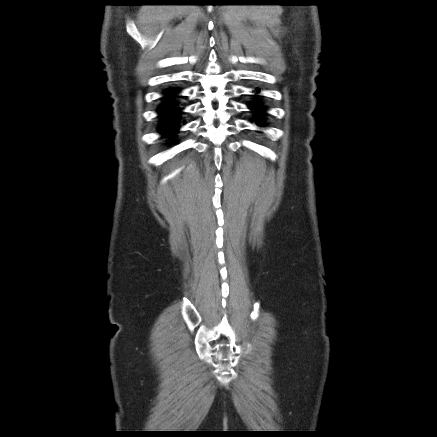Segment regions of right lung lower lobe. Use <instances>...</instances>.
<instances>
[{
	"label": "right lung lower lobe",
	"mask_w": 437,
	"mask_h": 437,
	"mask_svg": "<svg viewBox=\"0 0 437 437\" xmlns=\"http://www.w3.org/2000/svg\"><path fill=\"white\" fill-rule=\"evenodd\" d=\"M180 89L177 87H169L163 91V98L158 106L157 112L159 117V132L172 138L179 132L182 124V108L179 107L177 98L179 97Z\"/></svg>",
	"instance_id": "1"
}]
</instances>
